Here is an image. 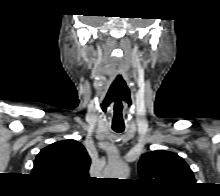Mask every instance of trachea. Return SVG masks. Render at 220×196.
Wrapping results in <instances>:
<instances>
[{
    "instance_id": "1",
    "label": "trachea",
    "mask_w": 220,
    "mask_h": 196,
    "mask_svg": "<svg viewBox=\"0 0 220 196\" xmlns=\"http://www.w3.org/2000/svg\"><path fill=\"white\" fill-rule=\"evenodd\" d=\"M113 130H114L115 132H117V133H121V132L124 131V128H114V127H113Z\"/></svg>"
}]
</instances>
